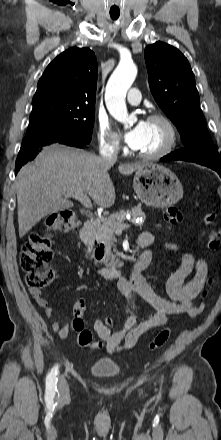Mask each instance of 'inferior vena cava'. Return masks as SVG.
Listing matches in <instances>:
<instances>
[{"instance_id":"inferior-vena-cava-1","label":"inferior vena cava","mask_w":221,"mask_h":440,"mask_svg":"<svg viewBox=\"0 0 221 440\" xmlns=\"http://www.w3.org/2000/svg\"><path fill=\"white\" fill-rule=\"evenodd\" d=\"M99 153L104 161L111 164L115 163L117 160L118 148L112 143L111 147L104 149L102 146L99 148Z\"/></svg>"}]
</instances>
